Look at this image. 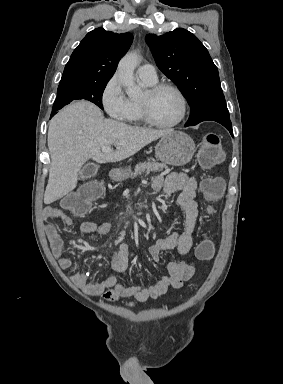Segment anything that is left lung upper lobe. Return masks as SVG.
I'll return each mask as SVG.
<instances>
[{
	"label": "left lung upper lobe",
	"instance_id": "left-lung-upper-lobe-1",
	"mask_svg": "<svg viewBox=\"0 0 283 384\" xmlns=\"http://www.w3.org/2000/svg\"><path fill=\"white\" fill-rule=\"evenodd\" d=\"M145 39L159 69L178 86L191 107L185 126L229 119L218 69L194 34L179 28L161 36L149 34Z\"/></svg>",
	"mask_w": 283,
	"mask_h": 384
}]
</instances>
